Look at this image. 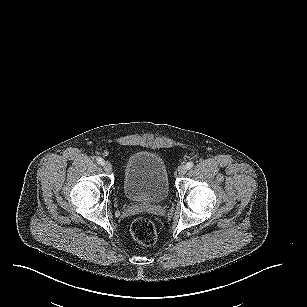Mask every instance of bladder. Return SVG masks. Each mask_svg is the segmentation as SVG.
I'll return each mask as SVG.
<instances>
[{"instance_id": "1", "label": "bladder", "mask_w": 307, "mask_h": 307, "mask_svg": "<svg viewBox=\"0 0 307 307\" xmlns=\"http://www.w3.org/2000/svg\"><path fill=\"white\" fill-rule=\"evenodd\" d=\"M121 185L129 201L163 202L169 194L168 172L163 160L150 152L132 154L127 160Z\"/></svg>"}]
</instances>
